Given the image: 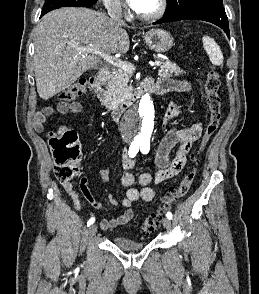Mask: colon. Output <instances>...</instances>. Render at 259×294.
<instances>
[{"label":"colon","instance_id":"1","mask_svg":"<svg viewBox=\"0 0 259 294\" xmlns=\"http://www.w3.org/2000/svg\"><path fill=\"white\" fill-rule=\"evenodd\" d=\"M87 81L82 78L70 87L64 89L58 94V100L62 102H71L80 96L86 88ZM221 81L219 73L211 68L207 73L205 81L206 104L209 110V120L207 122L204 136L201 144V150L204 149L207 142L216 133L219 128L222 108L219 95ZM50 147L55 159V175L61 182L70 181L77 173L81 159V150L77 141L75 131L61 127L50 134ZM199 158H194L195 165L198 164ZM195 168L190 170L179 184L171 187L161 198L157 208L149 214L141 224V233L149 235L153 233L159 225L160 220L165 212L180 198L185 197L195 177Z\"/></svg>","mask_w":259,"mask_h":294}]
</instances>
